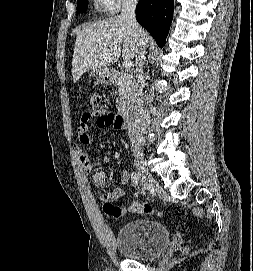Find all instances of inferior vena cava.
Wrapping results in <instances>:
<instances>
[{
	"label": "inferior vena cava",
	"instance_id": "1",
	"mask_svg": "<svg viewBox=\"0 0 253 271\" xmlns=\"http://www.w3.org/2000/svg\"><path fill=\"white\" fill-rule=\"evenodd\" d=\"M138 0H124L121 18L127 22L133 29L135 37L137 39L138 52L136 56V71L134 87L132 91V98L128 106V135L132 144L133 151L135 153L141 150L140 139V122L142 118L143 110V98L142 92L144 87L143 67L145 61V42L144 31L137 23L135 18V10Z\"/></svg>",
	"mask_w": 253,
	"mask_h": 271
}]
</instances>
